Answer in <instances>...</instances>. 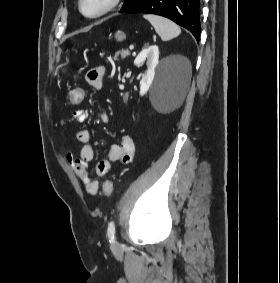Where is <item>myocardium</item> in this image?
<instances>
[{
    "mask_svg": "<svg viewBox=\"0 0 280 283\" xmlns=\"http://www.w3.org/2000/svg\"><path fill=\"white\" fill-rule=\"evenodd\" d=\"M120 2H121V0H107L104 7L102 9H100L99 11H97L96 13H93V14H87L84 11V8H83L84 0L78 1V8H79L80 13L84 17L89 18V19H96V18H100V17L112 12L113 10H115L119 6Z\"/></svg>",
    "mask_w": 280,
    "mask_h": 283,
    "instance_id": "1",
    "label": "myocardium"
}]
</instances>
